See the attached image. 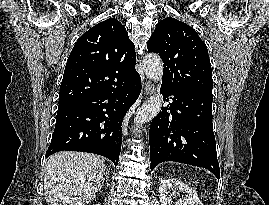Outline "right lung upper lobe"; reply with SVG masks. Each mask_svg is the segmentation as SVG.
Wrapping results in <instances>:
<instances>
[{
	"label": "right lung upper lobe",
	"instance_id": "cb5924a9",
	"mask_svg": "<svg viewBox=\"0 0 269 205\" xmlns=\"http://www.w3.org/2000/svg\"><path fill=\"white\" fill-rule=\"evenodd\" d=\"M136 53L125 27L107 19L85 32L66 63L59 103L117 88L135 70Z\"/></svg>",
	"mask_w": 269,
	"mask_h": 205
}]
</instances>
